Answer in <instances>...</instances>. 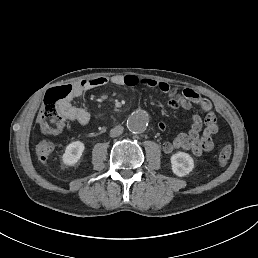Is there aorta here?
Segmentation results:
<instances>
[{"instance_id":"1","label":"aorta","mask_w":258,"mask_h":258,"mask_svg":"<svg viewBox=\"0 0 258 258\" xmlns=\"http://www.w3.org/2000/svg\"><path fill=\"white\" fill-rule=\"evenodd\" d=\"M149 123V115L145 111H136L127 120V128L135 134L142 133L146 130Z\"/></svg>"}]
</instances>
